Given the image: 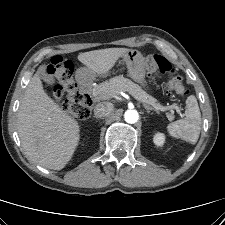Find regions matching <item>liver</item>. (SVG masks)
Masks as SVG:
<instances>
[{"label":"liver","mask_w":225,"mask_h":225,"mask_svg":"<svg viewBox=\"0 0 225 225\" xmlns=\"http://www.w3.org/2000/svg\"><path fill=\"white\" fill-rule=\"evenodd\" d=\"M129 49L107 48L80 53L78 60L93 73L104 74ZM17 127L28 158L47 169L61 170L80 141V126L45 92L38 72L21 101Z\"/></svg>","instance_id":"1"}]
</instances>
